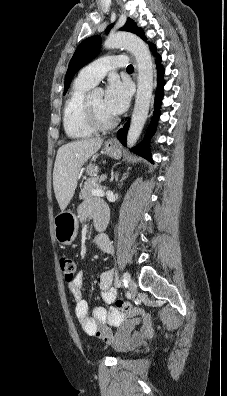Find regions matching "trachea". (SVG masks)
Listing matches in <instances>:
<instances>
[{
  "mask_svg": "<svg viewBox=\"0 0 227 396\" xmlns=\"http://www.w3.org/2000/svg\"><path fill=\"white\" fill-rule=\"evenodd\" d=\"M133 69H134V68H133L132 65H128V66H127V70H128V71H133Z\"/></svg>",
  "mask_w": 227,
  "mask_h": 396,
  "instance_id": "obj_1",
  "label": "trachea"
}]
</instances>
